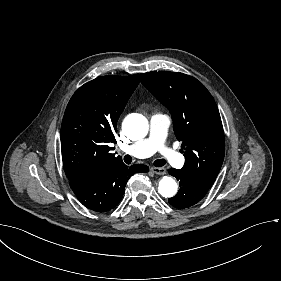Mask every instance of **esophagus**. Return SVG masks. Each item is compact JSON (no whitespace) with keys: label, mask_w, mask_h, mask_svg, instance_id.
Masks as SVG:
<instances>
[{"label":"esophagus","mask_w":281,"mask_h":281,"mask_svg":"<svg viewBox=\"0 0 281 281\" xmlns=\"http://www.w3.org/2000/svg\"><path fill=\"white\" fill-rule=\"evenodd\" d=\"M151 171H152L153 173H155V174H158V175H164V174H166V169H165V168H162V167H160V168L152 167V168H151Z\"/></svg>","instance_id":"34e87169"}]
</instances>
